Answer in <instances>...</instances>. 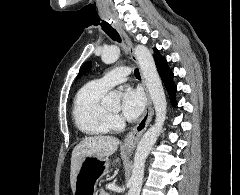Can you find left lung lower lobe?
<instances>
[{"mask_svg":"<svg viewBox=\"0 0 240 195\" xmlns=\"http://www.w3.org/2000/svg\"><path fill=\"white\" fill-rule=\"evenodd\" d=\"M158 72L160 77L168 91L170 102L172 106L176 105L175 93H176V86L174 85L172 79L174 77L173 72L167 65V61L164 57H160L155 60Z\"/></svg>","mask_w":240,"mask_h":195,"instance_id":"0a47b994","label":"left lung lower lobe"}]
</instances>
